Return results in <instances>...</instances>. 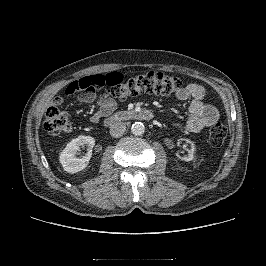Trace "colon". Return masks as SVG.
<instances>
[{
	"label": "colon",
	"mask_w": 266,
	"mask_h": 266,
	"mask_svg": "<svg viewBox=\"0 0 266 266\" xmlns=\"http://www.w3.org/2000/svg\"><path fill=\"white\" fill-rule=\"evenodd\" d=\"M100 87H107L108 94L115 98L125 99L143 92L169 96L180 90L181 82L175 76L157 71L141 73L126 79L119 72H110L78 78L67 86L66 94H84ZM44 127L51 133L69 132L68 115L58 107L51 106L46 111ZM226 137L227 128L223 124L217 123L211 127L209 142L212 146H221Z\"/></svg>",
	"instance_id": "5ec220e1"
}]
</instances>
